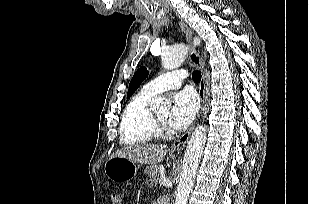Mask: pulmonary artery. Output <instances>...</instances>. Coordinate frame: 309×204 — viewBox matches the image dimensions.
Here are the masks:
<instances>
[{
	"label": "pulmonary artery",
	"instance_id": "pulmonary-artery-1",
	"mask_svg": "<svg viewBox=\"0 0 309 204\" xmlns=\"http://www.w3.org/2000/svg\"><path fill=\"white\" fill-rule=\"evenodd\" d=\"M185 78L186 74L183 71L169 72L150 80L144 85L143 90L149 94L156 95L163 91L180 87Z\"/></svg>",
	"mask_w": 309,
	"mask_h": 204
}]
</instances>
